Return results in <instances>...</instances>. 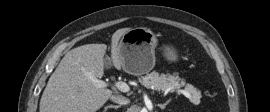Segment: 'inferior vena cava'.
I'll use <instances>...</instances> for the list:
<instances>
[{"mask_svg": "<svg viewBox=\"0 0 270 112\" xmlns=\"http://www.w3.org/2000/svg\"><path fill=\"white\" fill-rule=\"evenodd\" d=\"M111 101L118 103L120 105H127L130 100L122 95H112L110 97Z\"/></svg>", "mask_w": 270, "mask_h": 112, "instance_id": "inferior-vena-cava-1", "label": "inferior vena cava"}]
</instances>
